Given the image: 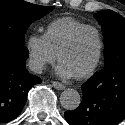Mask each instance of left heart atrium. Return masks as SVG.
Wrapping results in <instances>:
<instances>
[{
	"mask_svg": "<svg viewBox=\"0 0 125 125\" xmlns=\"http://www.w3.org/2000/svg\"><path fill=\"white\" fill-rule=\"evenodd\" d=\"M57 73L59 76L63 78H71L73 76L72 73L61 62L57 66Z\"/></svg>",
	"mask_w": 125,
	"mask_h": 125,
	"instance_id": "left-heart-atrium-1",
	"label": "left heart atrium"
}]
</instances>
